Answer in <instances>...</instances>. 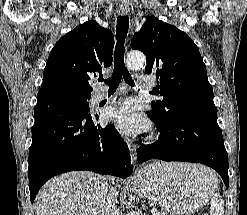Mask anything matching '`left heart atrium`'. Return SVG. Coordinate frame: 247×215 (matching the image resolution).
I'll return each instance as SVG.
<instances>
[{"label":"left heart atrium","instance_id":"obj_1","mask_svg":"<svg viewBox=\"0 0 247 215\" xmlns=\"http://www.w3.org/2000/svg\"><path fill=\"white\" fill-rule=\"evenodd\" d=\"M107 116L114 122L119 132L125 135H135L147 131L150 127L149 122L139 114L132 100H125L111 107Z\"/></svg>","mask_w":247,"mask_h":215}]
</instances>
